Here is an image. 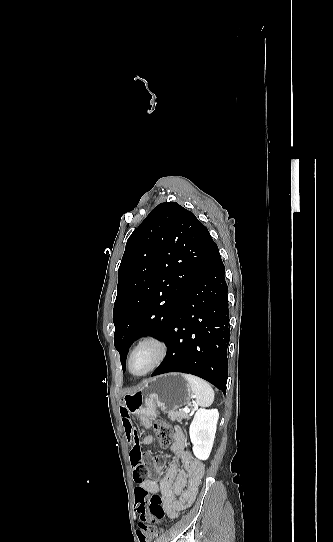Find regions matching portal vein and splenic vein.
Listing matches in <instances>:
<instances>
[{"instance_id":"obj_1","label":"portal vein and splenic vein","mask_w":333,"mask_h":542,"mask_svg":"<svg viewBox=\"0 0 333 542\" xmlns=\"http://www.w3.org/2000/svg\"><path fill=\"white\" fill-rule=\"evenodd\" d=\"M182 412H185V414H189V412H191V410H189V408H183Z\"/></svg>"}]
</instances>
